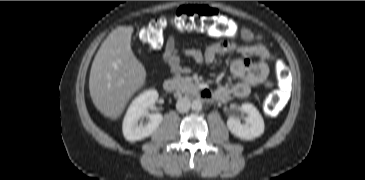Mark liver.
Masks as SVG:
<instances>
[{"label":"liver","mask_w":365,"mask_h":180,"mask_svg":"<svg viewBox=\"0 0 365 180\" xmlns=\"http://www.w3.org/2000/svg\"><path fill=\"white\" fill-rule=\"evenodd\" d=\"M133 26H119L101 44L92 63L89 91L95 107L118 119L146 80V70L131 49Z\"/></svg>","instance_id":"1"}]
</instances>
